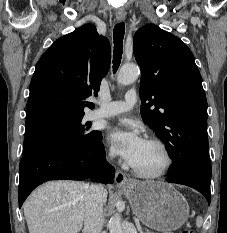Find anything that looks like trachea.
<instances>
[{
	"mask_svg": "<svg viewBox=\"0 0 227 233\" xmlns=\"http://www.w3.org/2000/svg\"><path fill=\"white\" fill-rule=\"evenodd\" d=\"M125 33L124 23H118L114 27V51H113V72L119 68L123 53V38Z\"/></svg>",
	"mask_w": 227,
	"mask_h": 233,
	"instance_id": "trachea-1",
	"label": "trachea"
}]
</instances>
